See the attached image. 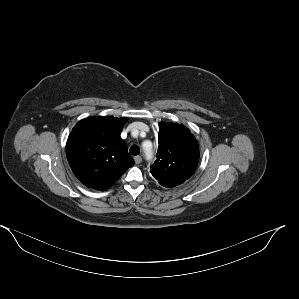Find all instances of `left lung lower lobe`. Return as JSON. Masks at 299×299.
Listing matches in <instances>:
<instances>
[{
    "label": "left lung lower lobe",
    "instance_id": "1",
    "mask_svg": "<svg viewBox=\"0 0 299 299\" xmlns=\"http://www.w3.org/2000/svg\"><path fill=\"white\" fill-rule=\"evenodd\" d=\"M185 180L186 179L164 180V181H159V184H161L164 187L170 188L184 183Z\"/></svg>",
    "mask_w": 299,
    "mask_h": 299
}]
</instances>
